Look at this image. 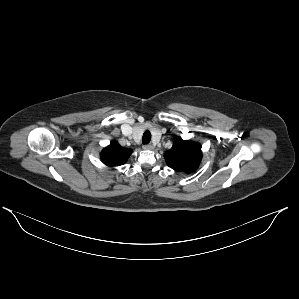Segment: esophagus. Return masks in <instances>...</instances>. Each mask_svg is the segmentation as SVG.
Returning <instances> with one entry per match:
<instances>
[{"label":"esophagus","instance_id":"1","mask_svg":"<svg viewBox=\"0 0 299 299\" xmlns=\"http://www.w3.org/2000/svg\"><path fill=\"white\" fill-rule=\"evenodd\" d=\"M144 149H147V150H152L153 149V145L152 144H145L143 146Z\"/></svg>","mask_w":299,"mask_h":299}]
</instances>
